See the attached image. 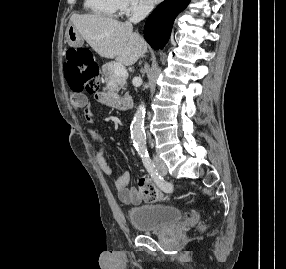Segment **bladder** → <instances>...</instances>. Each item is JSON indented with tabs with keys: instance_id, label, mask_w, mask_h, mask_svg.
I'll return each instance as SVG.
<instances>
[{
	"instance_id": "1",
	"label": "bladder",
	"mask_w": 286,
	"mask_h": 269,
	"mask_svg": "<svg viewBox=\"0 0 286 269\" xmlns=\"http://www.w3.org/2000/svg\"><path fill=\"white\" fill-rule=\"evenodd\" d=\"M128 218L141 232H158L180 222L182 212L175 206L149 203L129 209Z\"/></svg>"
}]
</instances>
